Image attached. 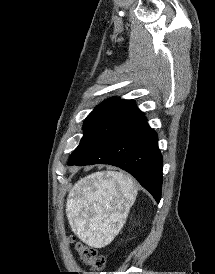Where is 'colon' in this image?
Returning a JSON list of instances; mask_svg holds the SVG:
<instances>
[{
    "mask_svg": "<svg viewBox=\"0 0 215 274\" xmlns=\"http://www.w3.org/2000/svg\"><path fill=\"white\" fill-rule=\"evenodd\" d=\"M75 248L79 254L80 261L91 268L92 274H96L105 267V258L98 252L97 249L82 246L80 244H76Z\"/></svg>",
    "mask_w": 215,
    "mask_h": 274,
    "instance_id": "colon-1",
    "label": "colon"
}]
</instances>
